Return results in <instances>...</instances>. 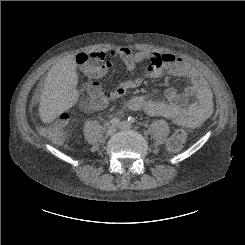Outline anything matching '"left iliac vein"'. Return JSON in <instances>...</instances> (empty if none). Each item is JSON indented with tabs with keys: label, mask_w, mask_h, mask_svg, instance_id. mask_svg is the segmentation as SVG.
<instances>
[{
	"label": "left iliac vein",
	"mask_w": 245,
	"mask_h": 245,
	"mask_svg": "<svg viewBox=\"0 0 245 245\" xmlns=\"http://www.w3.org/2000/svg\"><path fill=\"white\" fill-rule=\"evenodd\" d=\"M118 128L121 130H132V124L127 121H121L118 125Z\"/></svg>",
	"instance_id": "1"
}]
</instances>
